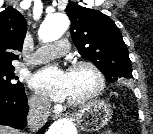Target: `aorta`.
<instances>
[{
  "mask_svg": "<svg viewBox=\"0 0 153 134\" xmlns=\"http://www.w3.org/2000/svg\"><path fill=\"white\" fill-rule=\"evenodd\" d=\"M69 27V20L65 14L49 15L39 29V37L43 42H51L60 38ZM48 134H77L75 125L68 119L56 121L48 130Z\"/></svg>",
  "mask_w": 153,
  "mask_h": 134,
  "instance_id": "1",
  "label": "aorta"
}]
</instances>
